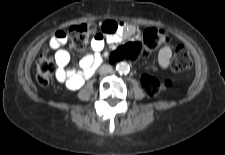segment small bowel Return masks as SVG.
<instances>
[{"mask_svg":"<svg viewBox=\"0 0 225 155\" xmlns=\"http://www.w3.org/2000/svg\"><path fill=\"white\" fill-rule=\"evenodd\" d=\"M134 32V28L127 23L113 20L105 21L102 29L91 41L93 53L84 56L76 66L70 64V55L64 48L70 42V33L66 29H57L50 38V46L56 50L55 62L57 64L56 78L64 83L70 90L79 89L86 79L90 78L101 62V51L107 42H117L121 37ZM172 57L170 46H163L158 52V63L162 69H167Z\"/></svg>","mask_w":225,"mask_h":155,"instance_id":"small-bowel-1","label":"small bowel"}]
</instances>
